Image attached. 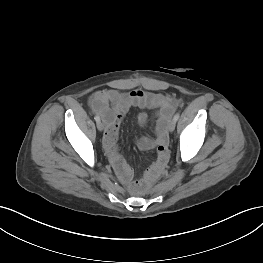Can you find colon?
I'll use <instances>...</instances> for the list:
<instances>
[{
	"label": "colon",
	"mask_w": 263,
	"mask_h": 263,
	"mask_svg": "<svg viewBox=\"0 0 263 263\" xmlns=\"http://www.w3.org/2000/svg\"><path fill=\"white\" fill-rule=\"evenodd\" d=\"M140 186H142V183H141V182H139L138 185H136V188H138V187H140Z\"/></svg>",
	"instance_id": "1"
}]
</instances>
